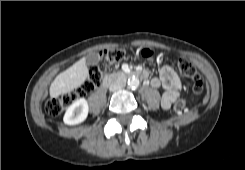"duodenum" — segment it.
<instances>
[{"instance_id":"1","label":"duodenum","mask_w":245,"mask_h":170,"mask_svg":"<svg viewBox=\"0 0 245 170\" xmlns=\"http://www.w3.org/2000/svg\"><path fill=\"white\" fill-rule=\"evenodd\" d=\"M132 75H135L137 77L143 78L146 76V73L144 71H135L132 73ZM128 75L125 73H115V74H109L105 76L101 82V88H106L110 82L114 80H120L126 78Z\"/></svg>"}]
</instances>
